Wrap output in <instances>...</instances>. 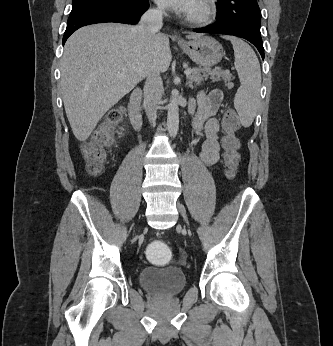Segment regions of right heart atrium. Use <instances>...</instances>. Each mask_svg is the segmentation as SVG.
Listing matches in <instances>:
<instances>
[{
    "label": "right heart atrium",
    "instance_id": "d8ad5b80",
    "mask_svg": "<svg viewBox=\"0 0 333 346\" xmlns=\"http://www.w3.org/2000/svg\"><path fill=\"white\" fill-rule=\"evenodd\" d=\"M154 11L157 12V13H159V12H160V9H159V8H155Z\"/></svg>",
    "mask_w": 333,
    "mask_h": 346
}]
</instances>
